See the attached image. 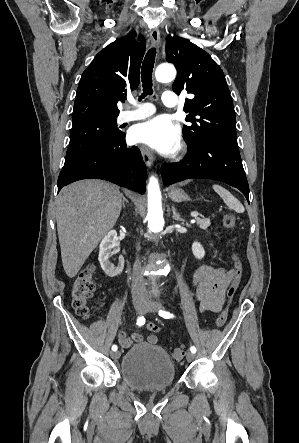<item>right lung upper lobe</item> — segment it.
<instances>
[{"label": "right lung upper lobe", "mask_w": 299, "mask_h": 443, "mask_svg": "<svg viewBox=\"0 0 299 443\" xmlns=\"http://www.w3.org/2000/svg\"><path fill=\"white\" fill-rule=\"evenodd\" d=\"M134 34L117 39L100 51L83 72L76 93L72 123L95 117H116L117 102L139 84L145 40Z\"/></svg>", "instance_id": "cb5924a9"}]
</instances>
